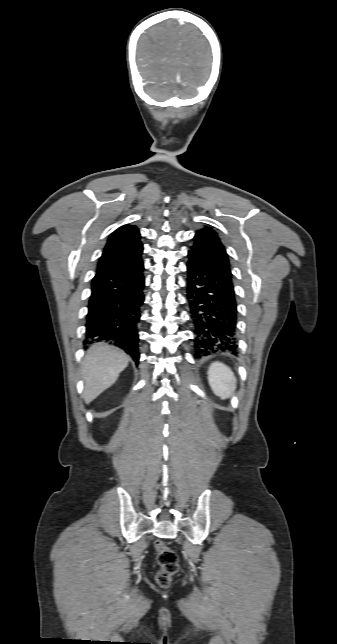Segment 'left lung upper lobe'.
<instances>
[{
	"label": "left lung upper lobe",
	"mask_w": 337,
	"mask_h": 644,
	"mask_svg": "<svg viewBox=\"0 0 337 644\" xmlns=\"http://www.w3.org/2000/svg\"><path fill=\"white\" fill-rule=\"evenodd\" d=\"M190 252H193L217 265L232 280L229 259L217 233L212 228L196 232Z\"/></svg>",
	"instance_id": "1"
}]
</instances>
